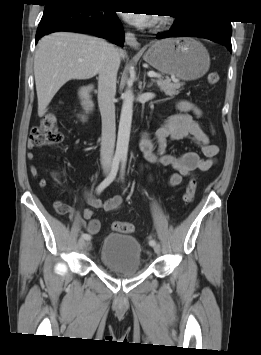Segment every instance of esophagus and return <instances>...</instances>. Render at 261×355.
<instances>
[{"label":"esophagus","mask_w":261,"mask_h":355,"mask_svg":"<svg viewBox=\"0 0 261 355\" xmlns=\"http://www.w3.org/2000/svg\"><path fill=\"white\" fill-rule=\"evenodd\" d=\"M125 42L132 48L138 49L140 48V43L137 41L135 35L131 32H126L125 34Z\"/></svg>","instance_id":"1"}]
</instances>
